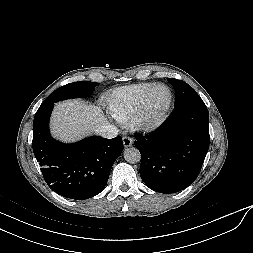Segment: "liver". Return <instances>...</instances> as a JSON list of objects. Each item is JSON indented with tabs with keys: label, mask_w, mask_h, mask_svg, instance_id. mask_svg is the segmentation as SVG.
Segmentation results:
<instances>
[{
	"label": "liver",
	"mask_w": 253,
	"mask_h": 253,
	"mask_svg": "<svg viewBox=\"0 0 253 253\" xmlns=\"http://www.w3.org/2000/svg\"><path fill=\"white\" fill-rule=\"evenodd\" d=\"M104 123L107 119L100 108L80 100H68L56 104L51 132L54 137L70 142L87 136Z\"/></svg>",
	"instance_id": "6515ba94"
}]
</instances>
